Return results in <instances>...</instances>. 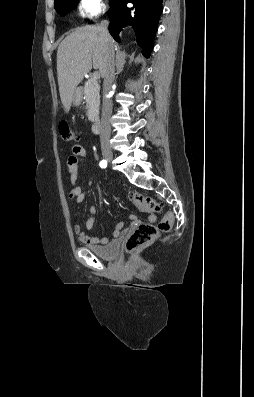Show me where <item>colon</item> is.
<instances>
[{
    "instance_id": "colon-1",
    "label": "colon",
    "mask_w": 254,
    "mask_h": 397,
    "mask_svg": "<svg viewBox=\"0 0 254 397\" xmlns=\"http://www.w3.org/2000/svg\"><path fill=\"white\" fill-rule=\"evenodd\" d=\"M59 133L63 140L73 141L75 135L69 125L62 121L59 124ZM131 202L137 206L140 210L148 213H158L162 210V206L155 199L140 194L138 192H132L129 195ZM173 224V215L166 213L162 220L157 224H140L126 239L125 250L128 253L134 252L135 250L148 245L153 242L160 233L168 232Z\"/></svg>"
}]
</instances>
